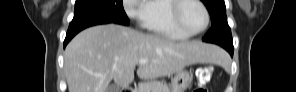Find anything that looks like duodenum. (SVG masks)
<instances>
[{"instance_id": "duodenum-1", "label": "duodenum", "mask_w": 296, "mask_h": 92, "mask_svg": "<svg viewBox=\"0 0 296 92\" xmlns=\"http://www.w3.org/2000/svg\"><path fill=\"white\" fill-rule=\"evenodd\" d=\"M136 90L134 87H126L122 90V92H135Z\"/></svg>"}]
</instances>
